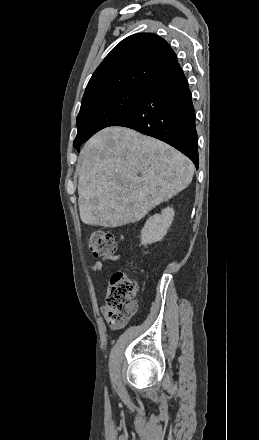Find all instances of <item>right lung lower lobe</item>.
<instances>
[{
	"mask_svg": "<svg viewBox=\"0 0 259 440\" xmlns=\"http://www.w3.org/2000/svg\"><path fill=\"white\" fill-rule=\"evenodd\" d=\"M110 126H123L155 137L189 157L198 169L195 111L179 64L152 85L139 102Z\"/></svg>",
	"mask_w": 259,
	"mask_h": 440,
	"instance_id": "98d812e1",
	"label": "right lung lower lobe"
}]
</instances>
